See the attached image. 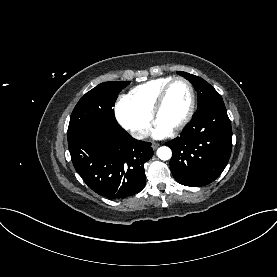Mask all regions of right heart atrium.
I'll use <instances>...</instances> for the list:
<instances>
[{"label":"right heart atrium","mask_w":277,"mask_h":277,"mask_svg":"<svg viewBox=\"0 0 277 277\" xmlns=\"http://www.w3.org/2000/svg\"><path fill=\"white\" fill-rule=\"evenodd\" d=\"M115 116L120 126L136 139L144 138L151 125V115L136 108L126 96L117 101Z\"/></svg>","instance_id":"d8ad5b80"}]
</instances>
